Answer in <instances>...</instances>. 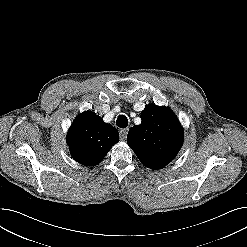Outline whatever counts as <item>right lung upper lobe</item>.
Here are the masks:
<instances>
[{
  "label": "right lung upper lobe",
  "instance_id": "right-lung-upper-lobe-1",
  "mask_svg": "<svg viewBox=\"0 0 247 247\" xmlns=\"http://www.w3.org/2000/svg\"><path fill=\"white\" fill-rule=\"evenodd\" d=\"M118 141L116 128L104 123L101 117L90 111L75 118L67 134L71 156L86 166L100 163Z\"/></svg>",
  "mask_w": 247,
  "mask_h": 247
}]
</instances>
